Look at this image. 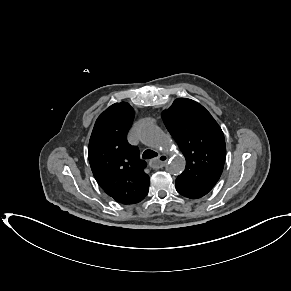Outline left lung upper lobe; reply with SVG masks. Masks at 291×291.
Segmentation results:
<instances>
[{"instance_id":"obj_1","label":"left lung upper lobe","mask_w":291,"mask_h":291,"mask_svg":"<svg viewBox=\"0 0 291 291\" xmlns=\"http://www.w3.org/2000/svg\"><path fill=\"white\" fill-rule=\"evenodd\" d=\"M162 118L186 158V168L176 179V190L190 199L201 198L222 174L224 134L211 114L191 99H176Z\"/></svg>"}]
</instances>
